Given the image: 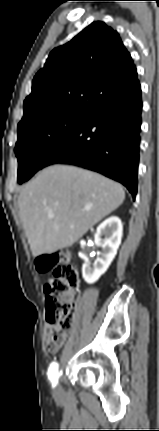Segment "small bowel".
I'll use <instances>...</instances> for the list:
<instances>
[{"label": "small bowel", "instance_id": "c3829d8e", "mask_svg": "<svg viewBox=\"0 0 159 431\" xmlns=\"http://www.w3.org/2000/svg\"><path fill=\"white\" fill-rule=\"evenodd\" d=\"M66 331L58 324L46 323L44 326V340L49 352L56 353L64 344Z\"/></svg>", "mask_w": 159, "mask_h": 431}]
</instances>
